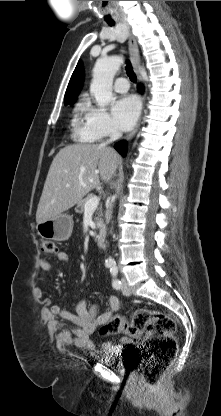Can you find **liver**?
I'll use <instances>...</instances> for the list:
<instances>
[{
    "label": "liver",
    "instance_id": "1",
    "mask_svg": "<svg viewBox=\"0 0 221 416\" xmlns=\"http://www.w3.org/2000/svg\"><path fill=\"white\" fill-rule=\"evenodd\" d=\"M119 155L101 144H72L62 148L49 168L37 207V224L67 211L100 179L105 183L116 175Z\"/></svg>",
    "mask_w": 221,
    "mask_h": 416
}]
</instances>
